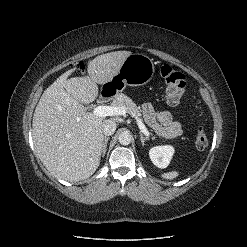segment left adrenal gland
Instances as JSON below:
<instances>
[{"instance_id":"a2214340","label":"left adrenal gland","mask_w":247,"mask_h":247,"mask_svg":"<svg viewBox=\"0 0 247 247\" xmlns=\"http://www.w3.org/2000/svg\"><path fill=\"white\" fill-rule=\"evenodd\" d=\"M147 140H148V137H144L143 134H140V141H141L142 146L145 145V141Z\"/></svg>"}]
</instances>
